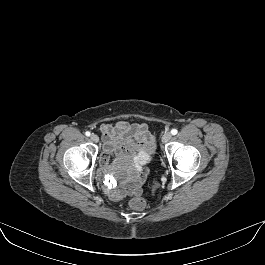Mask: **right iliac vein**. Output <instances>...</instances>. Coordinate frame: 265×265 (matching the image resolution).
Instances as JSON below:
<instances>
[{
    "mask_svg": "<svg viewBox=\"0 0 265 265\" xmlns=\"http://www.w3.org/2000/svg\"><path fill=\"white\" fill-rule=\"evenodd\" d=\"M90 138H91V140H92L93 142H98V141H99V137H98L96 134H92V135L90 136Z\"/></svg>",
    "mask_w": 265,
    "mask_h": 265,
    "instance_id": "right-iliac-vein-1",
    "label": "right iliac vein"
}]
</instances>
